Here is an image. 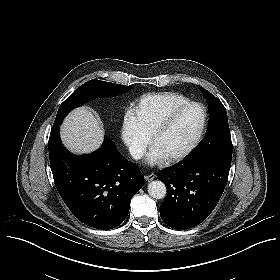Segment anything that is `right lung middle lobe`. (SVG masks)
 <instances>
[{"instance_id":"right-lung-middle-lobe-1","label":"right lung middle lobe","mask_w":280,"mask_h":280,"mask_svg":"<svg viewBox=\"0 0 280 280\" xmlns=\"http://www.w3.org/2000/svg\"><path fill=\"white\" fill-rule=\"evenodd\" d=\"M132 86L109 83L100 80H89L76 89L59 107L54 123H61L73 108L96 97H113L130 91Z\"/></svg>"}]
</instances>
